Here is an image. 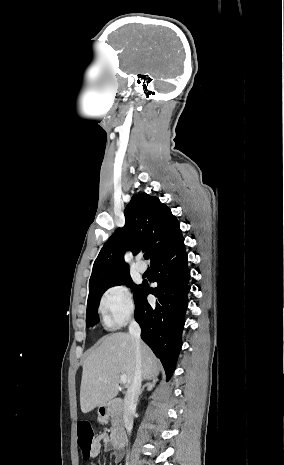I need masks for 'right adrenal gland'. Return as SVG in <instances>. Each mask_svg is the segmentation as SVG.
I'll use <instances>...</instances> for the list:
<instances>
[{
	"label": "right adrenal gland",
	"mask_w": 284,
	"mask_h": 465,
	"mask_svg": "<svg viewBox=\"0 0 284 465\" xmlns=\"http://www.w3.org/2000/svg\"><path fill=\"white\" fill-rule=\"evenodd\" d=\"M157 381V377H151V379H148V383H146V385H143L140 395H142L144 389H147V391H153Z\"/></svg>",
	"instance_id": "obj_1"
}]
</instances>
